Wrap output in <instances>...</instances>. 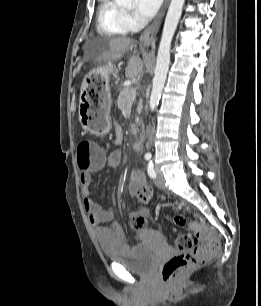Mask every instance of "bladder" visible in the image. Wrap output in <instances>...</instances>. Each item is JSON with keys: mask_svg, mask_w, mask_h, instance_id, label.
<instances>
[{"mask_svg": "<svg viewBox=\"0 0 261 306\" xmlns=\"http://www.w3.org/2000/svg\"><path fill=\"white\" fill-rule=\"evenodd\" d=\"M152 237L159 238L154 231H149ZM107 261L123 265L127 270L135 273L149 272L158 259V252L154 246L139 242L131 247L127 254L119 255L105 253Z\"/></svg>", "mask_w": 261, "mask_h": 306, "instance_id": "obj_1", "label": "bladder"}]
</instances>
